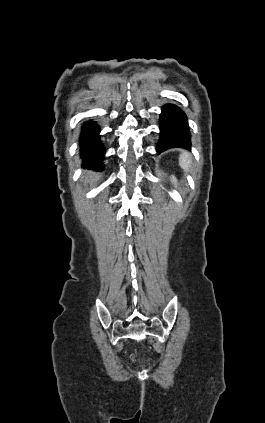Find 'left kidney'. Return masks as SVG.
Masks as SVG:
<instances>
[{"label":"left kidney","instance_id":"obj_1","mask_svg":"<svg viewBox=\"0 0 265 423\" xmlns=\"http://www.w3.org/2000/svg\"><path fill=\"white\" fill-rule=\"evenodd\" d=\"M172 180L176 183V179H175V177H172Z\"/></svg>","mask_w":265,"mask_h":423}]
</instances>
